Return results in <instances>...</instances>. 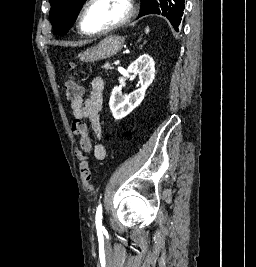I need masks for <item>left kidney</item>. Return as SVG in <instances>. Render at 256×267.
<instances>
[{
    "label": "left kidney",
    "instance_id": "left-kidney-1",
    "mask_svg": "<svg viewBox=\"0 0 256 267\" xmlns=\"http://www.w3.org/2000/svg\"><path fill=\"white\" fill-rule=\"evenodd\" d=\"M127 72L129 74H138L141 88L134 90L129 96L123 94L118 86L113 88L109 100V108L115 120H122V118L128 116L144 100L145 92L155 78V62L151 56L143 54L128 66Z\"/></svg>",
    "mask_w": 256,
    "mask_h": 267
}]
</instances>
